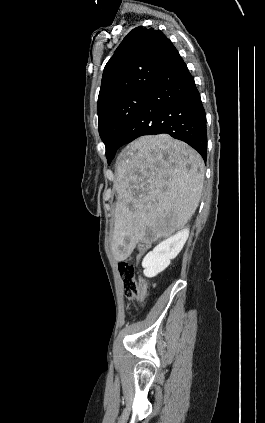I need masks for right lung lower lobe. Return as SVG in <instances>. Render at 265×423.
<instances>
[{
    "instance_id": "right-lung-lower-lobe-1",
    "label": "right lung lower lobe",
    "mask_w": 265,
    "mask_h": 423,
    "mask_svg": "<svg viewBox=\"0 0 265 423\" xmlns=\"http://www.w3.org/2000/svg\"><path fill=\"white\" fill-rule=\"evenodd\" d=\"M166 133L207 158L206 115L194 78L178 54L118 138V148L143 135Z\"/></svg>"
}]
</instances>
